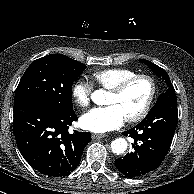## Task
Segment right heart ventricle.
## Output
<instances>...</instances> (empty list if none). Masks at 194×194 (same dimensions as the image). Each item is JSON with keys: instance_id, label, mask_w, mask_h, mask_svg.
<instances>
[{"instance_id": "right-heart-ventricle-1", "label": "right heart ventricle", "mask_w": 194, "mask_h": 194, "mask_svg": "<svg viewBox=\"0 0 194 194\" xmlns=\"http://www.w3.org/2000/svg\"><path fill=\"white\" fill-rule=\"evenodd\" d=\"M136 75L133 70L125 68H110L95 71L91 74L94 83L106 90H110L123 80Z\"/></svg>"}]
</instances>
